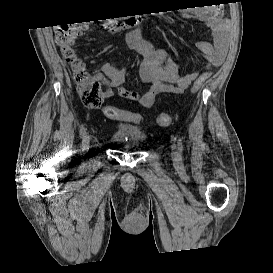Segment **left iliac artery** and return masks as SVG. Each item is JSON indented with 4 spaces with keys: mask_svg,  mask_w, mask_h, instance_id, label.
Listing matches in <instances>:
<instances>
[{
    "mask_svg": "<svg viewBox=\"0 0 273 273\" xmlns=\"http://www.w3.org/2000/svg\"><path fill=\"white\" fill-rule=\"evenodd\" d=\"M178 150H179V154L181 156V154L183 152V140H182V138L178 139Z\"/></svg>",
    "mask_w": 273,
    "mask_h": 273,
    "instance_id": "1",
    "label": "left iliac artery"
}]
</instances>
